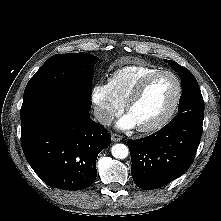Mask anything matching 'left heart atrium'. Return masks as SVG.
<instances>
[{
  "label": "left heart atrium",
  "instance_id": "39dd6f15",
  "mask_svg": "<svg viewBox=\"0 0 221 221\" xmlns=\"http://www.w3.org/2000/svg\"><path fill=\"white\" fill-rule=\"evenodd\" d=\"M117 126L121 129H131L134 128L136 124L132 117L127 114L118 121Z\"/></svg>",
  "mask_w": 221,
  "mask_h": 221
}]
</instances>
